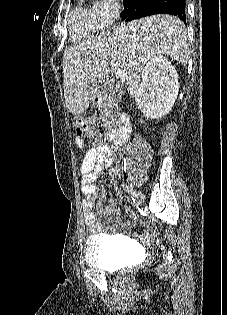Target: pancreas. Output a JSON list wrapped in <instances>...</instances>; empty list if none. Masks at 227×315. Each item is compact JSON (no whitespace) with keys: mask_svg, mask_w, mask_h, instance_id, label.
I'll list each match as a JSON object with an SVG mask.
<instances>
[{"mask_svg":"<svg viewBox=\"0 0 227 315\" xmlns=\"http://www.w3.org/2000/svg\"><path fill=\"white\" fill-rule=\"evenodd\" d=\"M100 119L106 128H109L113 122L112 101L108 98L101 106Z\"/></svg>","mask_w":227,"mask_h":315,"instance_id":"cf45deb5","label":"pancreas"}]
</instances>
